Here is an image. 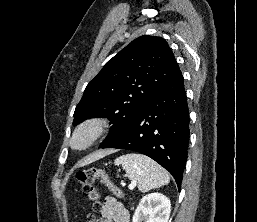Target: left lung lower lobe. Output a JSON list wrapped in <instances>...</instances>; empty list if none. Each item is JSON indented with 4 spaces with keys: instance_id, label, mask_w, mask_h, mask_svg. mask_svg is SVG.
Returning a JSON list of instances; mask_svg holds the SVG:
<instances>
[{
    "instance_id": "left-lung-lower-lobe-1",
    "label": "left lung lower lobe",
    "mask_w": 257,
    "mask_h": 222,
    "mask_svg": "<svg viewBox=\"0 0 257 222\" xmlns=\"http://www.w3.org/2000/svg\"><path fill=\"white\" fill-rule=\"evenodd\" d=\"M189 111L180 69L120 134L102 148L132 150L155 160L181 188L189 143Z\"/></svg>"
}]
</instances>
